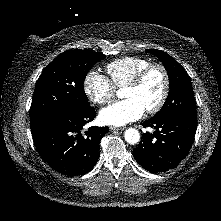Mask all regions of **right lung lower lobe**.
Wrapping results in <instances>:
<instances>
[{
  "label": "right lung lower lobe",
  "instance_id": "1",
  "mask_svg": "<svg viewBox=\"0 0 221 221\" xmlns=\"http://www.w3.org/2000/svg\"><path fill=\"white\" fill-rule=\"evenodd\" d=\"M93 107L85 111L54 114L31 127L35 147L44 161L54 170L73 177L89 172L100 156V139L108 127H90L85 134L80 130L94 119Z\"/></svg>",
  "mask_w": 221,
  "mask_h": 221
}]
</instances>
